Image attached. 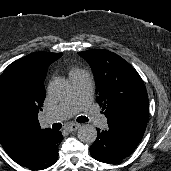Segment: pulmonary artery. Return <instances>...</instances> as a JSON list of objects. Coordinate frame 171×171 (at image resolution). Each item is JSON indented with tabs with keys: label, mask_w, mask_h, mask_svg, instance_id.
Returning <instances> with one entry per match:
<instances>
[{
	"label": "pulmonary artery",
	"mask_w": 171,
	"mask_h": 171,
	"mask_svg": "<svg viewBox=\"0 0 171 171\" xmlns=\"http://www.w3.org/2000/svg\"><path fill=\"white\" fill-rule=\"evenodd\" d=\"M73 92L64 102L46 113L47 122L64 120L72 117L78 111H84L97 127L107 125L106 117L92 110V80L88 72L82 71L70 77Z\"/></svg>",
	"instance_id": "e3ab8cb5"
}]
</instances>
